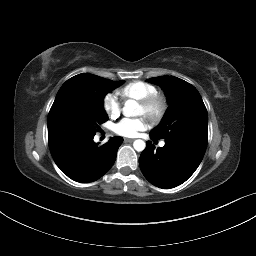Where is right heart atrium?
Instances as JSON below:
<instances>
[{
  "label": "right heart atrium",
  "mask_w": 256,
  "mask_h": 256,
  "mask_svg": "<svg viewBox=\"0 0 256 256\" xmlns=\"http://www.w3.org/2000/svg\"><path fill=\"white\" fill-rule=\"evenodd\" d=\"M102 105H103L104 111L110 118L114 119L119 116L121 107H120V103L118 102L117 98L114 95L107 94L103 98Z\"/></svg>",
  "instance_id": "d8ad5b80"
}]
</instances>
